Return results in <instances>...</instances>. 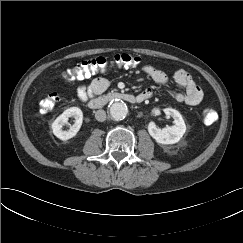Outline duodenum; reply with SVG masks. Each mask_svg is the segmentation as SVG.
Returning a JSON list of instances; mask_svg holds the SVG:
<instances>
[{"instance_id": "410a0bca", "label": "duodenum", "mask_w": 243, "mask_h": 243, "mask_svg": "<svg viewBox=\"0 0 243 243\" xmlns=\"http://www.w3.org/2000/svg\"><path fill=\"white\" fill-rule=\"evenodd\" d=\"M114 100H123L128 103H140L144 101L141 95H133L125 92H110L104 96L92 98L87 102V106L91 109H101L107 103Z\"/></svg>"}]
</instances>
